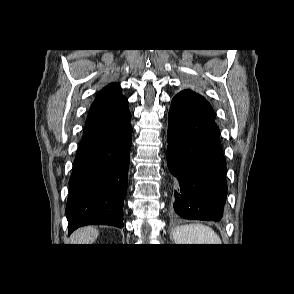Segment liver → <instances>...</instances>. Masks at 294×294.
<instances>
[{"instance_id":"6515ba94","label":"liver","mask_w":294,"mask_h":294,"mask_svg":"<svg viewBox=\"0 0 294 294\" xmlns=\"http://www.w3.org/2000/svg\"><path fill=\"white\" fill-rule=\"evenodd\" d=\"M99 235V231L94 227H82L71 235L72 244H92Z\"/></svg>"}]
</instances>
